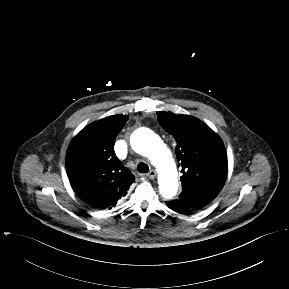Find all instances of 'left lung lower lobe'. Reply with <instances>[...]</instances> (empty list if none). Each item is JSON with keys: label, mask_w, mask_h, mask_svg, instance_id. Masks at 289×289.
Returning <instances> with one entry per match:
<instances>
[{"label": "left lung lower lobe", "mask_w": 289, "mask_h": 289, "mask_svg": "<svg viewBox=\"0 0 289 289\" xmlns=\"http://www.w3.org/2000/svg\"><path fill=\"white\" fill-rule=\"evenodd\" d=\"M166 205L170 209L178 213H193L202 209L204 206H206L203 203L195 202L191 200H185V199H176L173 201H167Z\"/></svg>", "instance_id": "0a47b994"}]
</instances>
